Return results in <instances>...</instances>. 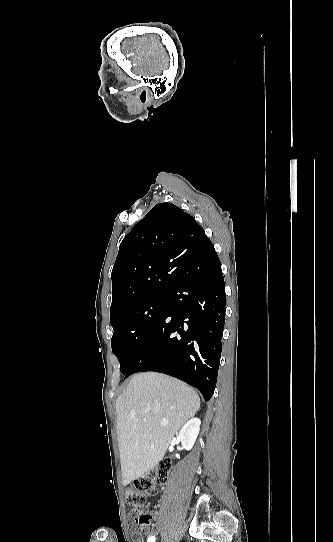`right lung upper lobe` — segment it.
I'll use <instances>...</instances> for the list:
<instances>
[{"mask_svg":"<svg viewBox=\"0 0 333 542\" xmlns=\"http://www.w3.org/2000/svg\"><path fill=\"white\" fill-rule=\"evenodd\" d=\"M205 243L211 242L191 215L172 203L154 206L120 244L111 273L110 318L168 294L183 279L175 254Z\"/></svg>","mask_w":333,"mask_h":542,"instance_id":"1","label":"right lung upper lobe"}]
</instances>
